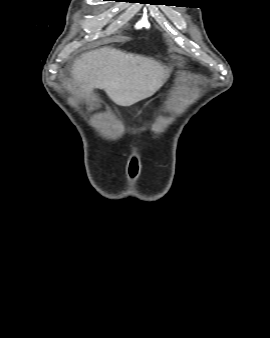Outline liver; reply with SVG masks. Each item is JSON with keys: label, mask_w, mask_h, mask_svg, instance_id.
Returning <instances> with one entry per match:
<instances>
[{"label": "liver", "mask_w": 270, "mask_h": 338, "mask_svg": "<svg viewBox=\"0 0 270 338\" xmlns=\"http://www.w3.org/2000/svg\"><path fill=\"white\" fill-rule=\"evenodd\" d=\"M170 71L153 58L104 47L82 54L71 75L85 94L104 89L116 104L130 106L153 95Z\"/></svg>", "instance_id": "6515ba94"}]
</instances>
